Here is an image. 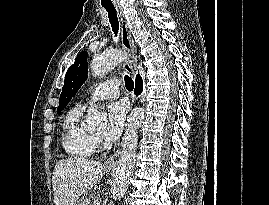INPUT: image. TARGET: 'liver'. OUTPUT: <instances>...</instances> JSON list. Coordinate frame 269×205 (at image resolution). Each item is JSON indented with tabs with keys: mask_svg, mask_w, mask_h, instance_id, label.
<instances>
[{
	"mask_svg": "<svg viewBox=\"0 0 269 205\" xmlns=\"http://www.w3.org/2000/svg\"><path fill=\"white\" fill-rule=\"evenodd\" d=\"M103 170L101 162L81 157L56 162L52 176L55 205H75L81 194L100 182Z\"/></svg>",
	"mask_w": 269,
	"mask_h": 205,
	"instance_id": "6515ba94",
	"label": "liver"
}]
</instances>
